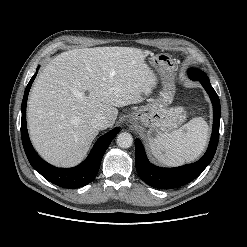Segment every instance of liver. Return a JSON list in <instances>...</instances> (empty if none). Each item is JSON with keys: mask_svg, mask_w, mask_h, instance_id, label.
Here are the masks:
<instances>
[{"mask_svg": "<svg viewBox=\"0 0 247 247\" xmlns=\"http://www.w3.org/2000/svg\"><path fill=\"white\" fill-rule=\"evenodd\" d=\"M152 54L132 47L74 49L56 56L30 92L27 123L31 141L49 163L71 167L81 162L98 135V114L112 127L117 107L142 101L156 86L145 62Z\"/></svg>", "mask_w": 247, "mask_h": 247, "instance_id": "obj_1", "label": "liver"}]
</instances>
